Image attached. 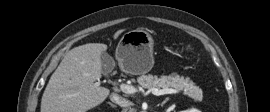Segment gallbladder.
<instances>
[{"mask_svg":"<svg viewBox=\"0 0 270 112\" xmlns=\"http://www.w3.org/2000/svg\"><path fill=\"white\" fill-rule=\"evenodd\" d=\"M101 63H102V72L104 74H109L114 67V60L113 58L106 52L101 54Z\"/></svg>","mask_w":270,"mask_h":112,"instance_id":"obj_1","label":"gallbladder"}]
</instances>
